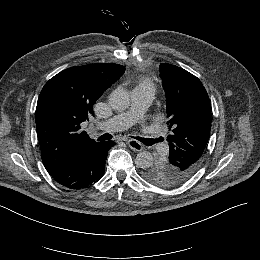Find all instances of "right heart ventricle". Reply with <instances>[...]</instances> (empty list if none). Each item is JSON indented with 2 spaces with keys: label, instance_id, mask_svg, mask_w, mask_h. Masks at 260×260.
Returning <instances> with one entry per match:
<instances>
[{
  "label": "right heart ventricle",
  "instance_id": "obj_1",
  "mask_svg": "<svg viewBox=\"0 0 260 260\" xmlns=\"http://www.w3.org/2000/svg\"><path fill=\"white\" fill-rule=\"evenodd\" d=\"M132 91L153 92L154 86L148 77L144 76L143 74H137L135 77Z\"/></svg>",
  "mask_w": 260,
  "mask_h": 260
}]
</instances>
